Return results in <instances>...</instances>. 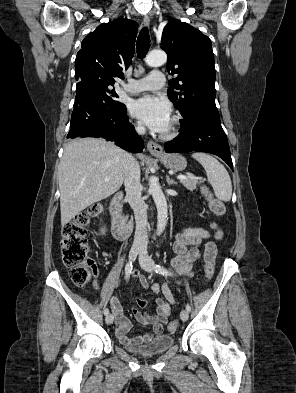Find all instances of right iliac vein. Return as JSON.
Returning <instances> with one entry per match:
<instances>
[{"label":"right iliac vein","mask_w":296,"mask_h":393,"mask_svg":"<svg viewBox=\"0 0 296 393\" xmlns=\"http://www.w3.org/2000/svg\"><path fill=\"white\" fill-rule=\"evenodd\" d=\"M140 251H141V248H139V247L131 248V250L129 252V260L134 261L136 259L137 255L140 253ZM113 320H114V318H113L112 314L107 315L105 318V321L108 325H111L113 323Z\"/></svg>","instance_id":"63e3f726"}]
</instances>
